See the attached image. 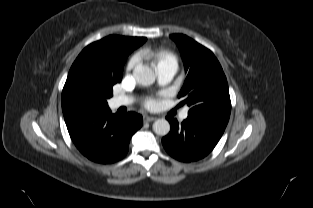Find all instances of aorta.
Listing matches in <instances>:
<instances>
[{
  "label": "aorta",
  "instance_id": "762f6f07",
  "mask_svg": "<svg viewBox=\"0 0 313 208\" xmlns=\"http://www.w3.org/2000/svg\"><path fill=\"white\" fill-rule=\"evenodd\" d=\"M133 76L137 83L142 86H150L155 82L156 75L152 68L147 65H136ZM153 131L160 136H165L170 131V124L166 119H158L153 123Z\"/></svg>",
  "mask_w": 313,
  "mask_h": 208
}]
</instances>
